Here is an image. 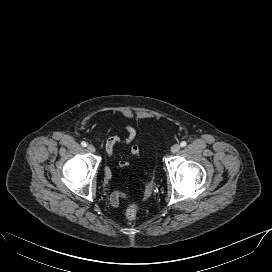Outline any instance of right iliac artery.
<instances>
[{
    "mask_svg": "<svg viewBox=\"0 0 272 272\" xmlns=\"http://www.w3.org/2000/svg\"><path fill=\"white\" fill-rule=\"evenodd\" d=\"M81 145H82L83 147H86V146H87V143H86L85 141H82V142H81Z\"/></svg>",
    "mask_w": 272,
    "mask_h": 272,
    "instance_id": "82829eb1",
    "label": "right iliac artery"
}]
</instances>
